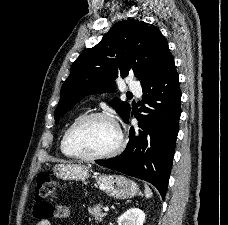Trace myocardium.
<instances>
[{
	"instance_id": "obj_1",
	"label": "myocardium",
	"mask_w": 228,
	"mask_h": 225,
	"mask_svg": "<svg viewBox=\"0 0 228 225\" xmlns=\"http://www.w3.org/2000/svg\"><path fill=\"white\" fill-rule=\"evenodd\" d=\"M93 118H101L104 119L108 122H110L118 135V143L117 145L111 149L110 151L103 153V154H99V155H85V154H80V153H76L74 151L71 150L70 148V141H71V137L74 133V131L85 121L89 120V119H93ZM64 146H65V150L67 152V154L70 157L73 158H77V159H82V160H91V161H96V160H102V159H107V158H111L114 157L116 155H118L125 146V140H124V136L123 133L121 131L120 126L118 125L117 121L110 115L102 113V112H92V113H87L84 114L80 117H78L68 128V130L66 131L65 134V138H64Z\"/></svg>"
}]
</instances>
